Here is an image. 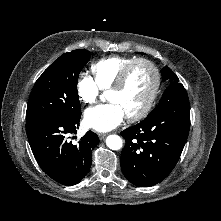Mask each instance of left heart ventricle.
<instances>
[{"mask_svg": "<svg viewBox=\"0 0 221 221\" xmlns=\"http://www.w3.org/2000/svg\"><path fill=\"white\" fill-rule=\"evenodd\" d=\"M153 82L151 69L144 64H139L131 71L124 88L120 91L108 92L107 99L120 105L125 116L133 115L146 104Z\"/></svg>", "mask_w": 221, "mask_h": 221, "instance_id": "1", "label": "left heart ventricle"}]
</instances>
